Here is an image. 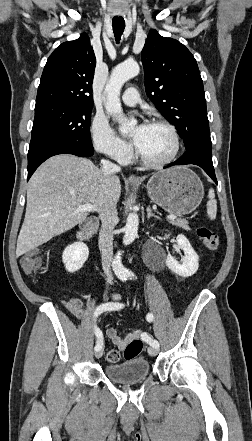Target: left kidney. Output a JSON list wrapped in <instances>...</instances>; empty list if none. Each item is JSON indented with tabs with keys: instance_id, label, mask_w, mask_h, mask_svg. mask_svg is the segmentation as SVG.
Masks as SVG:
<instances>
[{
	"instance_id": "5707ae66",
	"label": "left kidney",
	"mask_w": 252,
	"mask_h": 441,
	"mask_svg": "<svg viewBox=\"0 0 252 441\" xmlns=\"http://www.w3.org/2000/svg\"><path fill=\"white\" fill-rule=\"evenodd\" d=\"M168 238V236H165ZM178 245L184 251V257L182 258V263L177 262L173 256L168 254L166 259L167 267L175 274L182 277H189L195 274L199 267V257L197 253L192 248L189 240L182 234H179L176 238Z\"/></svg>"
}]
</instances>
